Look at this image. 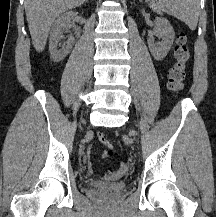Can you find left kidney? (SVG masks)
Listing matches in <instances>:
<instances>
[{
  "instance_id": "obj_1",
  "label": "left kidney",
  "mask_w": 216,
  "mask_h": 217,
  "mask_svg": "<svg viewBox=\"0 0 216 217\" xmlns=\"http://www.w3.org/2000/svg\"><path fill=\"white\" fill-rule=\"evenodd\" d=\"M153 33L154 35L160 37L162 41L154 43V39L149 38L147 40L148 47L154 59L160 61L167 56V53L171 49L175 38V32L167 19L157 17L155 19V27Z\"/></svg>"
}]
</instances>
